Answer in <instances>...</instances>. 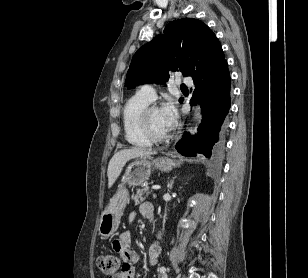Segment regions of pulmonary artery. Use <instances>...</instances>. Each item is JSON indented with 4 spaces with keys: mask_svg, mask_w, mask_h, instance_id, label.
<instances>
[{
    "mask_svg": "<svg viewBox=\"0 0 308 278\" xmlns=\"http://www.w3.org/2000/svg\"><path fill=\"white\" fill-rule=\"evenodd\" d=\"M178 83L184 84V85H187V86L193 85V81L190 77H182L181 79H179ZM138 93L150 102L153 101L156 98L155 89L150 85L142 86L140 88V90L138 91Z\"/></svg>",
    "mask_w": 308,
    "mask_h": 278,
    "instance_id": "pulmonary-artery-1",
    "label": "pulmonary artery"
}]
</instances>
